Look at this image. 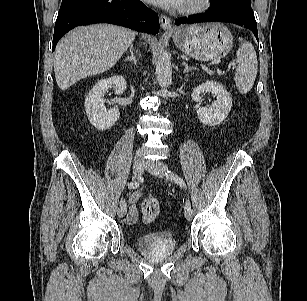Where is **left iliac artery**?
<instances>
[{
  "label": "left iliac artery",
  "mask_w": 307,
  "mask_h": 301,
  "mask_svg": "<svg viewBox=\"0 0 307 301\" xmlns=\"http://www.w3.org/2000/svg\"><path fill=\"white\" fill-rule=\"evenodd\" d=\"M166 177H167L169 180H171V181L177 183V184L180 185L181 187H183V188L186 187L184 180H183L182 178H180V177H179L177 174H175L174 172H172V171H167ZM189 207H191V204H190L189 201H186V203H185V205H184V209L186 210V209H188Z\"/></svg>",
  "instance_id": "obj_1"
}]
</instances>
